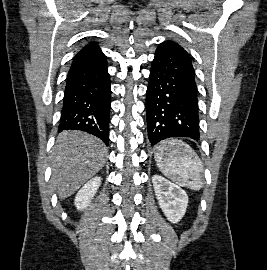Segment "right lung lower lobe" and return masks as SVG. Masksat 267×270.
<instances>
[{"label": "right lung lower lobe", "instance_id": "right-lung-lower-lobe-1", "mask_svg": "<svg viewBox=\"0 0 267 270\" xmlns=\"http://www.w3.org/2000/svg\"><path fill=\"white\" fill-rule=\"evenodd\" d=\"M110 93L106 56L95 43L85 46L69 70L58 131H85L108 145Z\"/></svg>", "mask_w": 267, "mask_h": 270}]
</instances>
